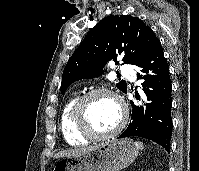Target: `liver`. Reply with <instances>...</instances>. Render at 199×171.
I'll list each match as a JSON object with an SVG mask.
<instances>
[{
	"instance_id": "6515ba94",
	"label": "liver",
	"mask_w": 199,
	"mask_h": 171,
	"mask_svg": "<svg viewBox=\"0 0 199 171\" xmlns=\"http://www.w3.org/2000/svg\"><path fill=\"white\" fill-rule=\"evenodd\" d=\"M93 148L94 147L91 146L88 148H76V149L61 151L55 155V158H64V157L81 155L92 150Z\"/></svg>"
}]
</instances>
